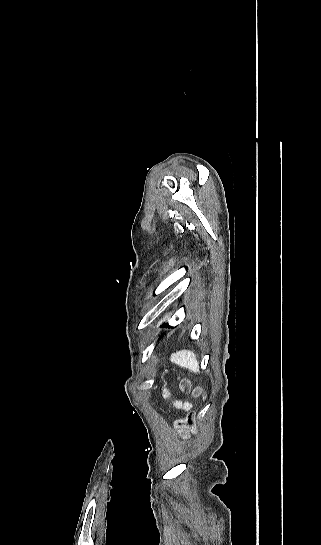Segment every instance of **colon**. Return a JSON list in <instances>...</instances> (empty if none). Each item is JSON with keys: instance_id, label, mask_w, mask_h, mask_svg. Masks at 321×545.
<instances>
[{"instance_id": "colon-1", "label": "colon", "mask_w": 321, "mask_h": 545, "mask_svg": "<svg viewBox=\"0 0 321 545\" xmlns=\"http://www.w3.org/2000/svg\"><path fill=\"white\" fill-rule=\"evenodd\" d=\"M196 393L199 394V391H196ZM174 427L179 431H194L195 429L194 414L190 413L188 414L186 418L175 421Z\"/></svg>"}]
</instances>
